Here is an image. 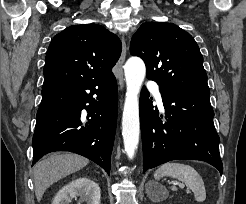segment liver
I'll list each match as a JSON object with an SVG mask.
<instances>
[{
    "label": "liver",
    "mask_w": 246,
    "mask_h": 204,
    "mask_svg": "<svg viewBox=\"0 0 246 204\" xmlns=\"http://www.w3.org/2000/svg\"><path fill=\"white\" fill-rule=\"evenodd\" d=\"M89 163L83 156L73 153L53 154L39 161L34 167V186L37 201L53 183L74 173Z\"/></svg>",
    "instance_id": "liver-1"
}]
</instances>
